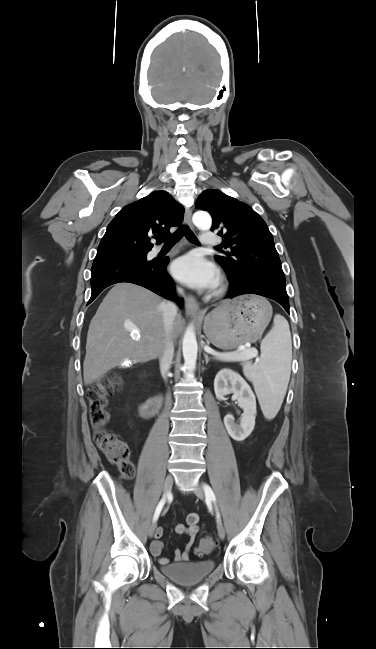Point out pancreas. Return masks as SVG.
Masks as SVG:
<instances>
[{
  "mask_svg": "<svg viewBox=\"0 0 376 649\" xmlns=\"http://www.w3.org/2000/svg\"><path fill=\"white\" fill-rule=\"evenodd\" d=\"M246 352H247V350H242V351L237 352V353L243 355V354H245ZM249 363H250V362H248V364H249Z\"/></svg>",
  "mask_w": 376,
  "mask_h": 649,
  "instance_id": "cf45deb5",
  "label": "pancreas"
}]
</instances>
